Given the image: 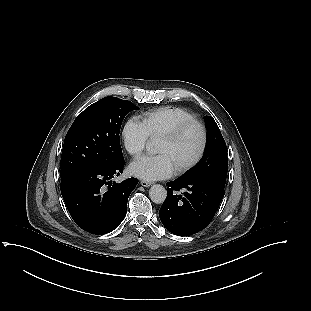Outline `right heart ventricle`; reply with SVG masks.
Segmentation results:
<instances>
[{
	"label": "right heart ventricle",
	"mask_w": 311,
	"mask_h": 311,
	"mask_svg": "<svg viewBox=\"0 0 311 311\" xmlns=\"http://www.w3.org/2000/svg\"><path fill=\"white\" fill-rule=\"evenodd\" d=\"M195 119L192 112L182 107L166 106L145 112L142 116L149 138H158L181 122Z\"/></svg>",
	"instance_id": "right-heart-ventricle-1"
}]
</instances>
